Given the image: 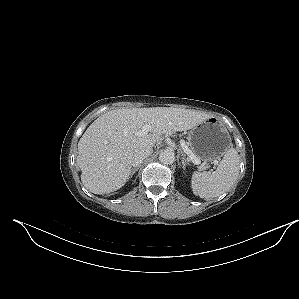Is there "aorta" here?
I'll return each instance as SVG.
<instances>
[{
  "label": "aorta",
  "mask_w": 299,
  "mask_h": 299,
  "mask_svg": "<svg viewBox=\"0 0 299 299\" xmlns=\"http://www.w3.org/2000/svg\"><path fill=\"white\" fill-rule=\"evenodd\" d=\"M159 161L162 164L171 165L175 161V154L171 150H164L159 155Z\"/></svg>",
  "instance_id": "aorta-1"
}]
</instances>
